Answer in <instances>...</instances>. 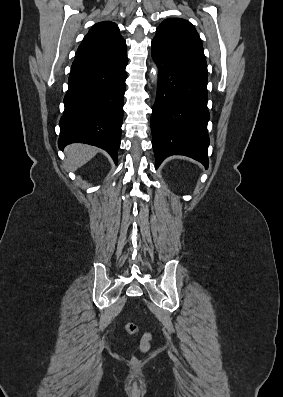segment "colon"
<instances>
[{"label":"colon","mask_w":283,"mask_h":397,"mask_svg":"<svg viewBox=\"0 0 283 397\" xmlns=\"http://www.w3.org/2000/svg\"><path fill=\"white\" fill-rule=\"evenodd\" d=\"M127 330L129 333L133 334L137 331V326L134 323H129V324H127ZM149 340H150V338L148 335H146L142 338L141 345H140V348L142 351H146L148 349Z\"/></svg>","instance_id":"obj_1"}]
</instances>
